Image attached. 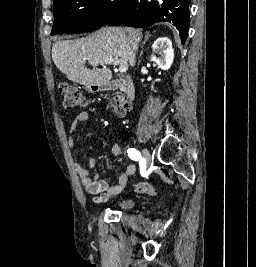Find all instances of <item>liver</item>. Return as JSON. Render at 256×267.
<instances>
[{
	"label": "liver",
	"instance_id": "obj_1",
	"mask_svg": "<svg viewBox=\"0 0 256 267\" xmlns=\"http://www.w3.org/2000/svg\"><path fill=\"white\" fill-rule=\"evenodd\" d=\"M141 30L134 28H113L106 26L81 40H59L52 46V60L68 80L83 86H102L112 80V72L104 68L105 62L134 64L135 46L141 42ZM92 64L95 70H88L85 64ZM103 66V68H97Z\"/></svg>",
	"mask_w": 256,
	"mask_h": 267
}]
</instances>
